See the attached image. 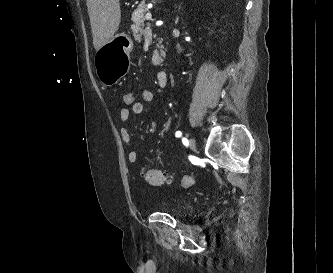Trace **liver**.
<instances>
[{
    "instance_id": "6515ba94",
    "label": "liver",
    "mask_w": 333,
    "mask_h": 273,
    "mask_svg": "<svg viewBox=\"0 0 333 273\" xmlns=\"http://www.w3.org/2000/svg\"><path fill=\"white\" fill-rule=\"evenodd\" d=\"M88 14L97 50L109 42L117 32L121 19L119 0H87Z\"/></svg>"
}]
</instances>
